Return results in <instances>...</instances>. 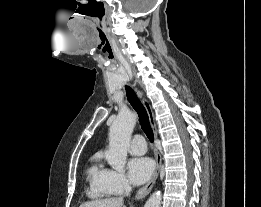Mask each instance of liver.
I'll use <instances>...</instances> for the list:
<instances>
[{"label":"liver","mask_w":261,"mask_h":207,"mask_svg":"<svg viewBox=\"0 0 261 207\" xmlns=\"http://www.w3.org/2000/svg\"><path fill=\"white\" fill-rule=\"evenodd\" d=\"M79 207H126L123 199L120 197H112L105 199H98L81 204Z\"/></svg>","instance_id":"obj_1"}]
</instances>
